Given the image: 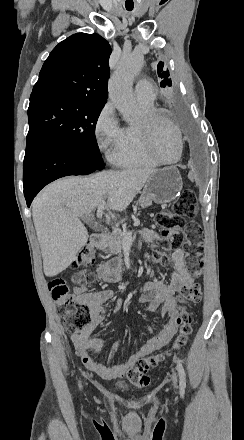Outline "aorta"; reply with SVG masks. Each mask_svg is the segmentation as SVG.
<instances>
[{"instance_id":"762f6f07","label":"aorta","mask_w":244,"mask_h":440,"mask_svg":"<svg viewBox=\"0 0 244 440\" xmlns=\"http://www.w3.org/2000/svg\"><path fill=\"white\" fill-rule=\"evenodd\" d=\"M143 62V56L138 53L122 57L109 80V97L125 121H132L135 114L136 104L132 86L135 76L142 69Z\"/></svg>"}]
</instances>
